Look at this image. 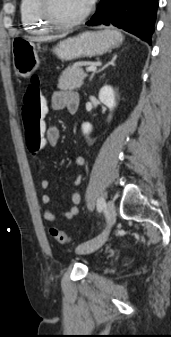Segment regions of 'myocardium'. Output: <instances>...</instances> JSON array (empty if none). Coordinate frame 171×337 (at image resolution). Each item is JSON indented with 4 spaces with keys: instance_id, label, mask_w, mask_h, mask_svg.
I'll use <instances>...</instances> for the list:
<instances>
[{
    "instance_id": "f54148a6",
    "label": "myocardium",
    "mask_w": 171,
    "mask_h": 337,
    "mask_svg": "<svg viewBox=\"0 0 171 337\" xmlns=\"http://www.w3.org/2000/svg\"><path fill=\"white\" fill-rule=\"evenodd\" d=\"M90 12L91 6H88L78 17L70 20H63L55 15L53 10V0H40V13L42 18L55 28H70L76 26L82 23L89 16Z\"/></svg>"
}]
</instances>
